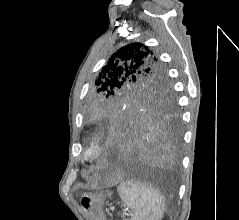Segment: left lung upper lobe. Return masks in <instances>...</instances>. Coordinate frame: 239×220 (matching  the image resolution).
Masks as SVG:
<instances>
[{"mask_svg":"<svg viewBox=\"0 0 239 220\" xmlns=\"http://www.w3.org/2000/svg\"><path fill=\"white\" fill-rule=\"evenodd\" d=\"M85 117L95 123L110 108L177 112L165 66L147 46L133 43L114 53L95 81Z\"/></svg>","mask_w":239,"mask_h":220,"instance_id":"left-lung-upper-lobe-1","label":"left lung upper lobe"}]
</instances>
